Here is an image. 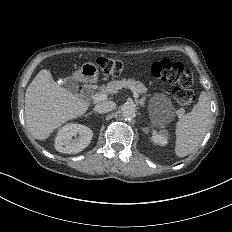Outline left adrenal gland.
I'll return each instance as SVG.
<instances>
[{
	"instance_id": "1",
	"label": "left adrenal gland",
	"mask_w": 232,
	"mask_h": 232,
	"mask_svg": "<svg viewBox=\"0 0 232 232\" xmlns=\"http://www.w3.org/2000/svg\"><path fill=\"white\" fill-rule=\"evenodd\" d=\"M137 103L141 106V107H143L144 106V99H140V100H138L137 101Z\"/></svg>"
}]
</instances>
